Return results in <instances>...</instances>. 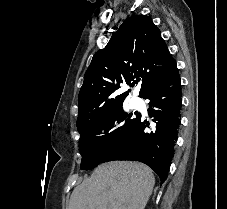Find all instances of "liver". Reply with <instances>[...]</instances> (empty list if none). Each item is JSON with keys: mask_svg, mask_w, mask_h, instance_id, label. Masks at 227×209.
Instances as JSON below:
<instances>
[{"mask_svg": "<svg viewBox=\"0 0 227 209\" xmlns=\"http://www.w3.org/2000/svg\"><path fill=\"white\" fill-rule=\"evenodd\" d=\"M154 183L151 169L142 163H105L74 189L69 209H145Z\"/></svg>", "mask_w": 227, "mask_h": 209, "instance_id": "obj_1", "label": "liver"}]
</instances>
